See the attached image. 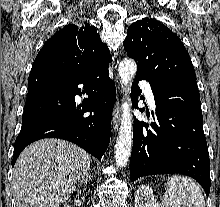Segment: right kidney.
<instances>
[{"label":"right kidney","mask_w":220,"mask_h":207,"mask_svg":"<svg viewBox=\"0 0 220 207\" xmlns=\"http://www.w3.org/2000/svg\"><path fill=\"white\" fill-rule=\"evenodd\" d=\"M64 207H69V205L66 204Z\"/></svg>","instance_id":"obj_1"}]
</instances>
